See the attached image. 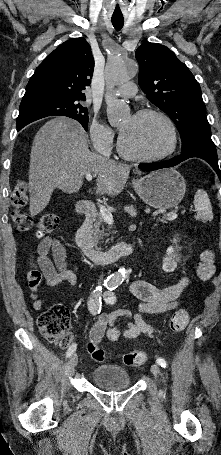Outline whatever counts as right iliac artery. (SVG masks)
Listing matches in <instances>:
<instances>
[{
  "label": "right iliac artery",
  "mask_w": 221,
  "mask_h": 455,
  "mask_svg": "<svg viewBox=\"0 0 221 455\" xmlns=\"http://www.w3.org/2000/svg\"><path fill=\"white\" fill-rule=\"evenodd\" d=\"M106 286V285H104ZM101 296H102V286L96 287L92 292L91 296L88 299V309L91 314L96 315L101 311ZM76 350V344H72L66 352V357H70Z\"/></svg>",
  "instance_id": "1"
}]
</instances>
